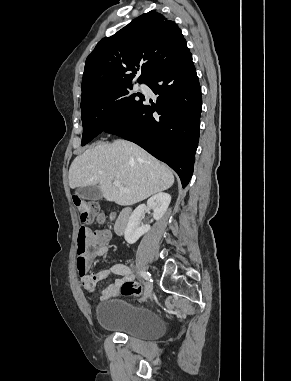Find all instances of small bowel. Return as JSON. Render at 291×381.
I'll list each match as a JSON object with an SVG mask.
<instances>
[{
  "label": "small bowel",
  "mask_w": 291,
  "mask_h": 381,
  "mask_svg": "<svg viewBox=\"0 0 291 381\" xmlns=\"http://www.w3.org/2000/svg\"><path fill=\"white\" fill-rule=\"evenodd\" d=\"M89 244L91 248V257H101L108 252L109 242L112 239V233L109 229L102 228L95 231H89ZM111 275L117 276V280L107 286L103 292V298H114L120 295L121 285L125 282L132 281L134 275L130 268L123 264H114L109 270H100L96 273H91L82 276L81 285L83 289L88 293H93L96 289L98 282L105 280Z\"/></svg>",
  "instance_id": "1"
}]
</instances>
